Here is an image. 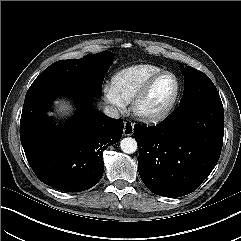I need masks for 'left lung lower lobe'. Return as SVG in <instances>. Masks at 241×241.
Instances as JSON below:
<instances>
[{
    "label": "left lung lower lobe",
    "mask_w": 241,
    "mask_h": 241,
    "mask_svg": "<svg viewBox=\"0 0 241 241\" xmlns=\"http://www.w3.org/2000/svg\"><path fill=\"white\" fill-rule=\"evenodd\" d=\"M223 132L222 102L210 100L179 105L156 126H135L143 183L165 197L193 192L218 162Z\"/></svg>",
    "instance_id": "obj_1"
}]
</instances>
